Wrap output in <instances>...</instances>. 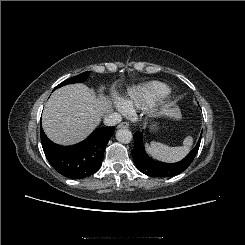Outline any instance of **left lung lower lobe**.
Returning a JSON list of instances; mask_svg holds the SVG:
<instances>
[{
  "mask_svg": "<svg viewBox=\"0 0 245 245\" xmlns=\"http://www.w3.org/2000/svg\"><path fill=\"white\" fill-rule=\"evenodd\" d=\"M134 148L132 157L136 167L144 174L152 177H171L182 173L193 161L199 149L202 134L194 149L180 162L164 164L152 160L145 152L143 145V133H134Z\"/></svg>",
  "mask_w": 245,
  "mask_h": 245,
  "instance_id": "left-lung-lower-lobe-1",
  "label": "left lung lower lobe"
}]
</instances>
